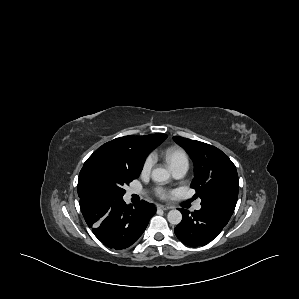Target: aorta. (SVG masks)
I'll return each instance as SVG.
<instances>
[{
    "mask_svg": "<svg viewBox=\"0 0 299 299\" xmlns=\"http://www.w3.org/2000/svg\"><path fill=\"white\" fill-rule=\"evenodd\" d=\"M151 177L153 181L161 183L169 179L170 173L164 168H156L153 169ZM167 219L169 223L177 225L182 221V214L179 210L173 209L168 212Z\"/></svg>",
    "mask_w": 299,
    "mask_h": 299,
    "instance_id": "aorta-1",
    "label": "aorta"
}]
</instances>
